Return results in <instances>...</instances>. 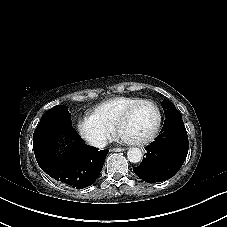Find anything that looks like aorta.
Listing matches in <instances>:
<instances>
[{"instance_id": "762f6f07", "label": "aorta", "mask_w": 227, "mask_h": 227, "mask_svg": "<svg viewBox=\"0 0 227 227\" xmlns=\"http://www.w3.org/2000/svg\"><path fill=\"white\" fill-rule=\"evenodd\" d=\"M127 158L131 163H138L142 160V152L137 147H132L127 152Z\"/></svg>"}]
</instances>
